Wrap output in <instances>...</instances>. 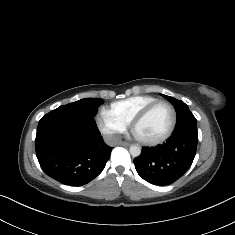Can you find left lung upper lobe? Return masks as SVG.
Returning a JSON list of instances; mask_svg holds the SVG:
<instances>
[{
    "label": "left lung upper lobe",
    "instance_id": "left-lung-upper-lobe-1",
    "mask_svg": "<svg viewBox=\"0 0 235 235\" xmlns=\"http://www.w3.org/2000/svg\"><path fill=\"white\" fill-rule=\"evenodd\" d=\"M164 97L174 104L177 112V124L173 134H179L181 132L198 134L196 118L193 116L188 106L181 100L165 95Z\"/></svg>",
    "mask_w": 235,
    "mask_h": 235
}]
</instances>
